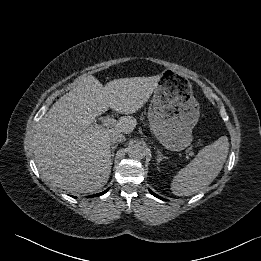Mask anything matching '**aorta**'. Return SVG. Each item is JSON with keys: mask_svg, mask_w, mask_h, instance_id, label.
Returning <instances> with one entry per match:
<instances>
[{"mask_svg": "<svg viewBox=\"0 0 261 261\" xmlns=\"http://www.w3.org/2000/svg\"><path fill=\"white\" fill-rule=\"evenodd\" d=\"M128 155L135 160H141L145 157V148L140 143H134L129 146Z\"/></svg>", "mask_w": 261, "mask_h": 261, "instance_id": "obj_1", "label": "aorta"}]
</instances>
